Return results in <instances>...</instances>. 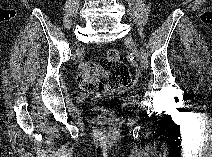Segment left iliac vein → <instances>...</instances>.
Returning <instances> with one entry per match:
<instances>
[{
	"instance_id": "1",
	"label": "left iliac vein",
	"mask_w": 212,
	"mask_h": 157,
	"mask_svg": "<svg viewBox=\"0 0 212 157\" xmlns=\"http://www.w3.org/2000/svg\"><path fill=\"white\" fill-rule=\"evenodd\" d=\"M125 43L128 45L129 49L131 50V53L136 58V60L139 61L141 63V65L144 67V65L142 63V59H141V54L137 48V45H136L134 39L131 36H127L125 38Z\"/></svg>"
}]
</instances>
